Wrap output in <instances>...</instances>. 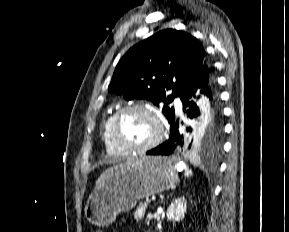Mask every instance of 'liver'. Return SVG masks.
<instances>
[{"label":"liver","instance_id":"obj_1","mask_svg":"<svg viewBox=\"0 0 289 232\" xmlns=\"http://www.w3.org/2000/svg\"><path fill=\"white\" fill-rule=\"evenodd\" d=\"M134 160V159H133ZM133 160L127 161L125 164H120L117 166H113L109 169H107L104 173H102L100 175V177L98 178L96 185H95V190L99 189L100 187H102L105 183V181L112 175V173L119 169V168H123L124 166L130 164Z\"/></svg>","mask_w":289,"mask_h":232}]
</instances>
